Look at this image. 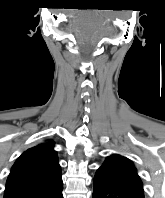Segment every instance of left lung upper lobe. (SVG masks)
Wrapping results in <instances>:
<instances>
[{
    "label": "left lung upper lobe",
    "instance_id": "obj_1",
    "mask_svg": "<svg viewBox=\"0 0 165 198\" xmlns=\"http://www.w3.org/2000/svg\"><path fill=\"white\" fill-rule=\"evenodd\" d=\"M120 184L143 193L142 182L131 160L120 155L107 157L98 169Z\"/></svg>",
    "mask_w": 165,
    "mask_h": 198
}]
</instances>
